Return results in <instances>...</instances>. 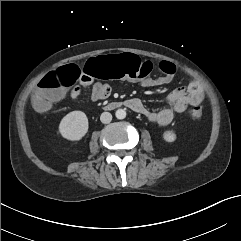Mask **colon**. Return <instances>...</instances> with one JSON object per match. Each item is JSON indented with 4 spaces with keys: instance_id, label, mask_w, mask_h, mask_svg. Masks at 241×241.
I'll use <instances>...</instances> for the list:
<instances>
[{
    "instance_id": "obj_1",
    "label": "colon",
    "mask_w": 241,
    "mask_h": 241,
    "mask_svg": "<svg viewBox=\"0 0 241 241\" xmlns=\"http://www.w3.org/2000/svg\"><path fill=\"white\" fill-rule=\"evenodd\" d=\"M158 69L164 74L174 76L176 66L168 61H160ZM153 70L151 61H144L132 54L94 55L86 59L81 67L78 61H68L58 70L45 75L38 84L33 98L34 106L39 111L46 110L52 103L61 99L65 91L70 88L83 73L91 78L117 79L127 77L142 79ZM202 109L197 106L191 110V117L199 119Z\"/></svg>"
}]
</instances>
